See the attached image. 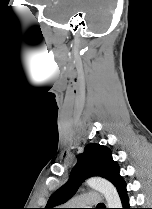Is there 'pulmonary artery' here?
<instances>
[{
  "mask_svg": "<svg viewBox=\"0 0 152 209\" xmlns=\"http://www.w3.org/2000/svg\"><path fill=\"white\" fill-rule=\"evenodd\" d=\"M101 203V194L98 192H86L70 200L74 207L98 206Z\"/></svg>",
  "mask_w": 152,
  "mask_h": 209,
  "instance_id": "obj_1",
  "label": "pulmonary artery"
}]
</instances>
